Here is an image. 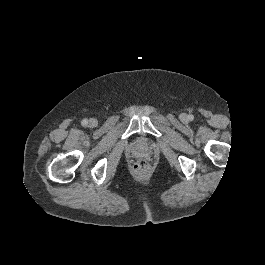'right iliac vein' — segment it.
Segmentation results:
<instances>
[{
    "label": "right iliac vein",
    "mask_w": 265,
    "mask_h": 265,
    "mask_svg": "<svg viewBox=\"0 0 265 265\" xmlns=\"http://www.w3.org/2000/svg\"><path fill=\"white\" fill-rule=\"evenodd\" d=\"M88 125L92 128H95L98 125V121L95 118H91L88 122Z\"/></svg>",
    "instance_id": "right-iliac-vein-1"
}]
</instances>
